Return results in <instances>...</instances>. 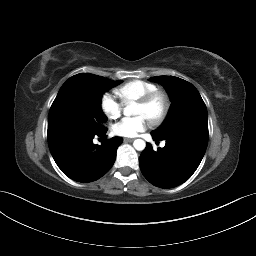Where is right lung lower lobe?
<instances>
[{"label":"right lung lower lobe","mask_w":256,"mask_h":256,"mask_svg":"<svg viewBox=\"0 0 256 256\" xmlns=\"http://www.w3.org/2000/svg\"><path fill=\"white\" fill-rule=\"evenodd\" d=\"M106 130L85 133L70 128H48L49 149L61 171L78 182H92L106 174L123 142L121 137H113L100 146L93 144L94 136H103Z\"/></svg>","instance_id":"1"}]
</instances>
